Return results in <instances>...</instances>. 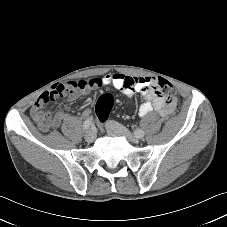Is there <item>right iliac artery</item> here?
<instances>
[{"mask_svg": "<svg viewBox=\"0 0 227 227\" xmlns=\"http://www.w3.org/2000/svg\"><path fill=\"white\" fill-rule=\"evenodd\" d=\"M90 126H92V119L85 120L83 124V130L87 131L90 128Z\"/></svg>", "mask_w": 227, "mask_h": 227, "instance_id": "obj_1", "label": "right iliac artery"}]
</instances>
